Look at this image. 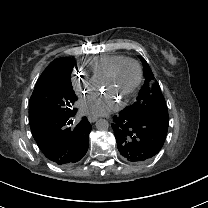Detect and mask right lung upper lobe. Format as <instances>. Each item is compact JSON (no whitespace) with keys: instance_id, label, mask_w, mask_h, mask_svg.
I'll list each match as a JSON object with an SVG mask.
<instances>
[{"instance_id":"obj_1","label":"right lung upper lobe","mask_w":208,"mask_h":208,"mask_svg":"<svg viewBox=\"0 0 208 208\" xmlns=\"http://www.w3.org/2000/svg\"><path fill=\"white\" fill-rule=\"evenodd\" d=\"M58 59H59V58H58ZM56 60H57V59H55L53 62H51V63L48 65V67L44 70V72H43V73L41 74V76L39 77L38 81L41 80V79H43V77H44V75H45L47 69H48L49 67H51V65H52ZM38 81H37V82H38Z\"/></svg>"}]
</instances>
